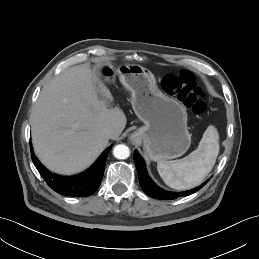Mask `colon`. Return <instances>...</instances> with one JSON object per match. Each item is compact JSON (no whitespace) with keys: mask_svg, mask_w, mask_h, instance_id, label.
I'll return each instance as SVG.
<instances>
[{"mask_svg":"<svg viewBox=\"0 0 259 259\" xmlns=\"http://www.w3.org/2000/svg\"><path fill=\"white\" fill-rule=\"evenodd\" d=\"M162 87L166 93L176 96L193 113L198 115L208 113L209 104L205 94L190 72L167 74L162 80Z\"/></svg>","mask_w":259,"mask_h":259,"instance_id":"1","label":"colon"}]
</instances>
